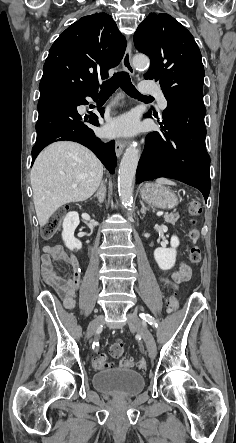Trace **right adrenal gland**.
Listing matches in <instances>:
<instances>
[{"instance_id": "1", "label": "right adrenal gland", "mask_w": 236, "mask_h": 443, "mask_svg": "<svg viewBox=\"0 0 236 443\" xmlns=\"http://www.w3.org/2000/svg\"><path fill=\"white\" fill-rule=\"evenodd\" d=\"M94 197H96L100 203L104 202V199L106 198V186L104 182H101L100 187Z\"/></svg>"}]
</instances>
